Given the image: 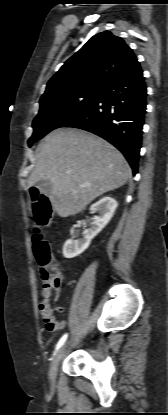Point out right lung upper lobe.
<instances>
[{
	"mask_svg": "<svg viewBox=\"0 0 168 415\" xmlns=\"http://www.w3.org/2000/svg\"><path fill=\"white\" fill-rule=\"evenodd\" d=\"M137 64L132 49L122 38L109 31L98 33L49 80L40 103L79 90H103Z\"/></svg>",
	"mask_w": 168,
	"mask_h": 415,
	"instance_id": "obj_1",
	"label": "right lung upper lobe"
}]
</instances>
